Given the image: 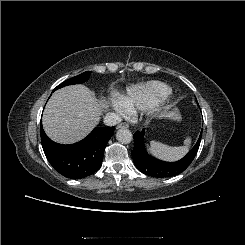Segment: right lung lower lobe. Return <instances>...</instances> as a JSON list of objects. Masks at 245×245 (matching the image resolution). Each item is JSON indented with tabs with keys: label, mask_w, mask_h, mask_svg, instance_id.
<instances>
[{
	"label": "right lung lower lobe",
	"mask_w": 245,
	"mask_h": 245,
	"mask_svg": "<svg viewBox=\"0 0 245 245\" xmlns=\"http://www.w3.org/2000/svg\"><path fill=\"white\" fill-rule=\"evenodd\" d=\"M44 153L53 168L71 179L85 178L102 165L105 147L114 134V127L95 128L85 139L72 145L53 142L40 126Z\"/></svg>",
	"instance_id": "1"
}]
</instances>
